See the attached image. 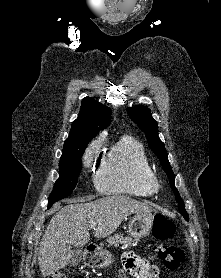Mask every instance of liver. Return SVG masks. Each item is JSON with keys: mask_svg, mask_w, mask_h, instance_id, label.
I'll use <instances>...</instances> for the list:
<instances>
[{"mask_svg": "<svg viewBox=\"0 0 221 278\" xmlns=\"http://www.w3.org/2000/svg\"><path fill=\"white\" fill-rule=\"evenodd\" d=\"M72 200L51 219L42 237L38 262L44 277L68 265L72 247H82L90 241L89 226L96 222L94 236L105 238L134 213H151L146 203L123 195H112L92 202Z\"/></svg>", "mask_w": 221, "mask_h": 278, "instance_id": "6515ba94", "label": "liver"}]
</instances>
